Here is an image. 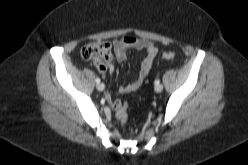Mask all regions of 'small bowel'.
Masks as SVG:
<instances>
[{
  "label": "small bowel",
  "mask_w": 248,
  "mask_h": 165,
  "mask_svg": "<svg viewBox=\"0 0 248 165\" xmlns=\"http://www.w3.org/2000/svg\"><path fill=\"white\" fill-rule=\"evenodd\" d=\"M115 57L118 62H124L126 60V53L128 49H136L145 51V57L141 63L140 70L136 79L125 86L119 88V93H129L137 90L143 83L146 76L149 74L154 59L157 55V47L149 40L136 38V37H123L114 41L113 44ZM102 74H105V70H101Z\"/></svg>",
  "instance_id": "c3829d8e"
}]
</instances>
